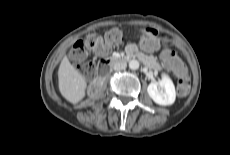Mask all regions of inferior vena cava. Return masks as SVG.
Returning <instances> with one entry per match:
<instances>
[{
  "mask_svg": "<svg viewBox=\"0 0 230 155\" xmlns=\"http://www.w3.org/2000/svg\"><path fill=\"white\" fill-rule=\"evenodd\" d=\"M127 66L126 62L125 61H117L114 65H113V69L115 71H118V70H123L125 69Z\"/></svg>",
  "mask_w": 230,
  "mask_h": 155,
  "instance_id": "obj_1",
  "label": "inferior vena cava"
}]
</instances>
